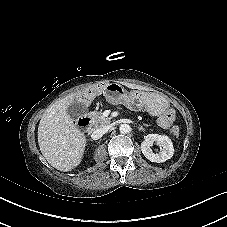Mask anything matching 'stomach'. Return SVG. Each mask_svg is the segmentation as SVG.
Returning a JSON list of instances; mask_svg holds the SVG:
<instances>
[{
  "instance_id": "obj_1",
  "label": "stomach",
  "mask_w": 227,
  "mask_h": 227,
  "mask_svg": "<svg viewBox=\"0 0 227 227\" xmlns=\"http://www.w3.org/2000/svg\"><path fill=\"white\" fill-rule=\"evenodd\" d=\"M106 99L111 104L145 108L153 115H161L169 108L168 100L161 94L141 90L127 91L119 84L106 85Z\"/></svg>"
}]
</instances>
